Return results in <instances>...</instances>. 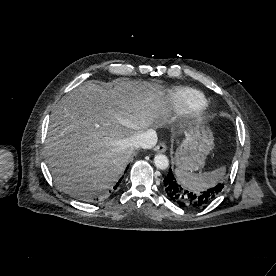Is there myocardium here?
I'll return each mask as SVG.
<instances>
[{"label": "myocardium", "mask_w": 276, "mask_h": 276, "mask_svg": "<svg viewBox=\"0 0 276 276\" xmlns=\"http://www.w3.org/2000/svg\"><path fill=\"white\" fill-rule=\"evenodd\" d=\"M193 119L196 122H202L208 116V107L206 104L197 107L191 112Z\"/></svg>", "instance_id": "obj_1"}]
</instances>
